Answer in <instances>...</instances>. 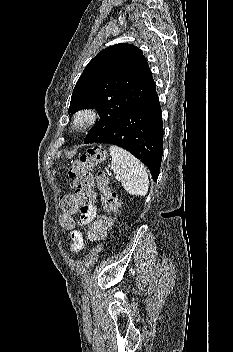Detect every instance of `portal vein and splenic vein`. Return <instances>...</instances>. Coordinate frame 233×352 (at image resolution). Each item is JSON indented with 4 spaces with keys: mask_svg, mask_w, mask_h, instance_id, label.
Masks as SVG:
<instances>
[{
    "mask_svg": "<svg viewBox=\"0 0 233 352\" xmlns=\"http://www.w3.org/2000/svg\"><path fill=\"white\" fill-rule=\"evenodd\" d=\"M116 179H119V177H118V176H116Z\"/></svg>",
    "mask_w": 233,
    "mask_h": 352,
    "instance_id": "portal-vein-and-splenic-vein-1",
    "label": "portal vein and splenic vein"
}]
</instances>
